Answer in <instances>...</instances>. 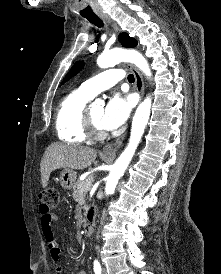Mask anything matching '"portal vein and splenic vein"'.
Returning <instances> with one entry per match:
<instances>
[{
  "mask_svg": "<svg viewBox=\"0 0 221 274\" xmlns=\"http://www.w3.org/2000/svg\"><path fill=\"white\" fill-rule=\"evenodd\" d=\"M92 186V180L89 179L86 183V185L84 186V190L88 191L90 189V187Z\"/></svg>",
  "mask_w": 221,
  "mask_h": 274,
  "instance_id": "18ae733b",
  "label": "portal vein and splenic vein"
}]
</instances>
